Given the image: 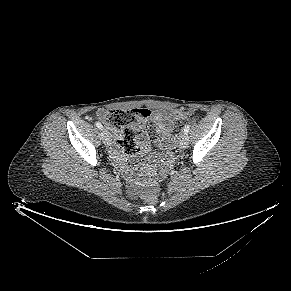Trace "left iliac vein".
I'll return each instance as SVG.
<instances>
[{
	"mask_svg": "<svg viewBox=\"0 0 291 291\" xmlns=\"http://www.w3.org/2000/svg\"><path fill=\"white\" fill-rule=\"evenodd\" d=\"M179 144L182 148H186L188 146V135L186 133H182L180 135Z\"/></svg>",
	"mask_w": 291,
	"mask_h": 291,
	"instance_id": "4c4485c4",
	"label": "left iliac vein"
}]
</instances>
